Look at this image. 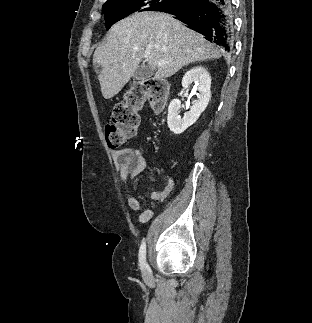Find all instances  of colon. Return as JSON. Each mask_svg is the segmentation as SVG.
I'll return each instance as SVG.
<instances>
[{
    "instance_id": "obj_1",
    "label": "colon",
    "mask_w": 312,
    "mask_h": 323,
    "mask_svg": "<svg viewBox=\"0 0 312 323\" xmlns=\"http://www.w3.org/2000/svg\"><path fill=\"white\" fill-rule=\"evenodd\" d=\"M168 97V88L163 78L137 79L111 110L110 123L105 127V140L109 147L120 148L135 136L139 125V111L149 101L159 111Z\"/></svg>"
}]
</instances>
